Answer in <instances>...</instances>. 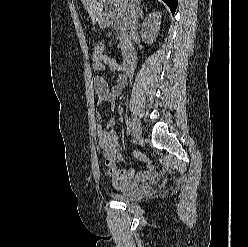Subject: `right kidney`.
Wrapping results in <instances>:
<instances>
[{
    "mask_svg": "<svg viewBox=\"0 0 248 247\" xmlns=\"http://www.w3.org/2000/svg\"><path fill=\"white\" fill-rule=\"evenodd\" d=\"M161 18H162V14L161 12L158 11H154L150 13L145 18L142 25L141 37L146 43L152 44L155 41L158 35V31L160 29Z\"/></svg>",
    "mask_w": 248,
    "mask_h": 247,
    "instance_id": "obj_1",
    "label": "right kidney"
}]
</instances>
